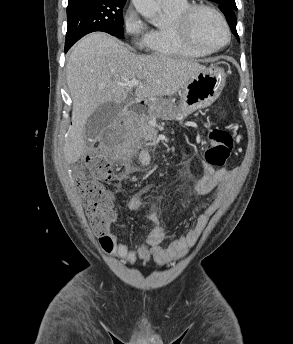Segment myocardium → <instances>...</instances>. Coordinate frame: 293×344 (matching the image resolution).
I'll use <instances>...</instances> for the list:
<instances>
[{"mask_svg":"<svg viewBox=\"0 0 293 344\" xmlns=\"http://www.w3.org/2000/svg\"><path fill=\"white\" fill-rule=\"evenodd\" d=\"M208 11L215 15L218 20L223 25L225 32H226V40L223 44L215 47V48H206L199 45L192 36L191 33V22L198 11ZM174 31L179 39L189 48L194 51H197L202 54H213L219 52L220 50L224 49L226 46L229 45L231 41V29L227 20L225 19L224 15L215 7L208 5V4H193L182 11L174 20L173 23Z\"/></svg>","mask_w":293,"mask_h":344,"instance_id":"1","label":"myocardium"}]
</instances>
